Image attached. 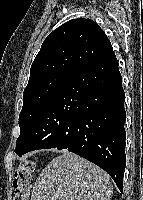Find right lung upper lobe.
<instances>
[{
  "instance_id": "cb5924a9",
  "label": "right lung upper lobe",
  "mask_w": 143,
  "mask_h": 200,
  "mask_svg": "<svg viewBox=\"0 0 143 200\" xmlns=\"http://www.w3.org/2000/svg\"><path fill=\"white\" fill-rule=\"evenodd\" d=\"M112 52L109 39L97 23L70 20L44 40L32 63L28 83L50 74L72 75Z\"/></svg>"
}]
</instances>
